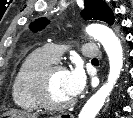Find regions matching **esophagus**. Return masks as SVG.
I'll return each mask as SVG.
<instances>
[{
	"instance_id": "1",
	"label": "esophagus",
	"mask_w": 133,
	"mask_h": 118,
	"mask_svg": "<svg viewBox=\"0 0 133 118\" xmlns=\"http://www.w3.org/2000/svg\"><path fill=\"white\" fill-rule=\"evenodd\" d=\"M61 118H73V115L70 113H65L61 115Z\"/></svg>"
}]
</instances>
